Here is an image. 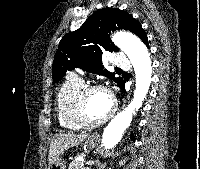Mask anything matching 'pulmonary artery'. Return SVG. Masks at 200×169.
<instances>
[{"label": "pulmonary artery", "mask_w": 200, "mask_h": 169, "mask_svg": "<svg viewBox=\"0 0 200 169\" xmlns=\"http://www.w3.org/2000/svg\"><path fill=\"white\" fill-rule=\"evenodd\" d=\"M112 62L115 66H127L128 65V61H127L126 57L122 53H119V52L114 53ZM70 77L74 78L76 80H79L81 82L83 81L81 78H79L77 75H74V74L70 75Z\"/></svg>", "instance_id": "pulmonary-artery-1"}]
</instances>
